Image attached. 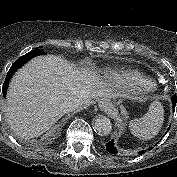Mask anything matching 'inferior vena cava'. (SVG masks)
I'll return each mask as SVG.
<instances>
[{
    "mask_svg": "<svg viewBox=\"0 0 177 177\" xmlns=\"http://www.w3.org/2000/svg\"><path fill=\"white\" fill-rule=\"evenodd\" d=\"M81 105V101L77 98H67L60 104V110L63 113L75 111Z\"/></svg>",
    "mask_w": 177,
    "mask_h": 177,
    "instance_id": "602c4592",
    "label": "inferior vena cava"
}]
</instances>
